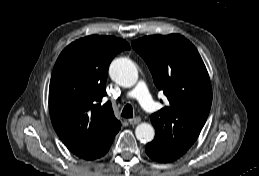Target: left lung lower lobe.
<instances>
[{
  "label": "left lung lower lobe",
  "mask_w": 259,
  "mask_h": 176,
  "mask_svg": "<svg viewBox=\"0 0 259 176\" xmlns=\"http://www.w3.org/2000/svg\"><path fill=\"white\" fill-rule=\"evenodd\" d=\"M146 153L155 161L168 163L178 159L185 152H178L168 149L165 145L153 140L146 145Z\"/></svg>",
  "instance_id": "1"
}]
</instances>
